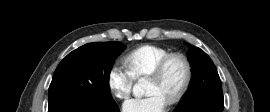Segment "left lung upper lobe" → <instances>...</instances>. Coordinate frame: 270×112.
<instances>
[{
  "label": "left lung upper lobe",
  "mask_w": 270,
  "mask_h": 112,
  "mask_svg": "<svg viewBox=\"0 0 270 112\" xmlns=\"http://www.w3.org/2000/svg\"><path fill=\"white\" fill-rule=\"evenodd\" d=\"M189 61L194 73L192 86L177 109L208 100L223 101L221 81L210 57L195 47L190 50Z\"/></svg>",
  "instance_id": "obj_1"
}]
</instances>
